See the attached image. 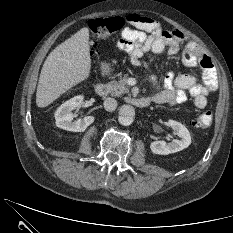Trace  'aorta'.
<instances>
[{
	"mask_svg": "<svg viewBox=\"0 0 233 233\" xmlns=\"http://www.w3.org/2000/svg\"><path fill=\"white\" fill-rule=\"evenodd\" d=\"M135 109L131 105H122L119 109L118 121L121 125L128 126L134 121Z\"/></svg>",
	"mask_w": 233,
	"mask_h": 233,
	"instance_id": "762f6f07",
	"label": "aorta"
}]
</instances>
